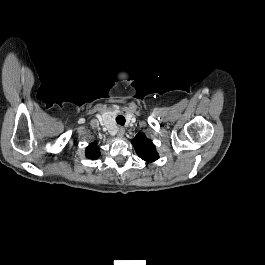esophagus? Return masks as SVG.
Returning a JSON list of instances; mask_svg holds the SVG:
<instances>
[{
  "label": "esophagus",
  "instance_id": "34e87169",
  "mask_svg": "<svg viewBox=\"0 0 265 265\" xmlns=\"http://www.w3.org/2000/svg\"><path fill=\"white\" fill-rule=\"evenodd\" d=\"M124 133H125V129L123 127H118V129H117V136L119 138H122L123 135H124Z\"/></svg>",
  "mask_w": 265,
  "mask_h": 265
}]
</instances>
